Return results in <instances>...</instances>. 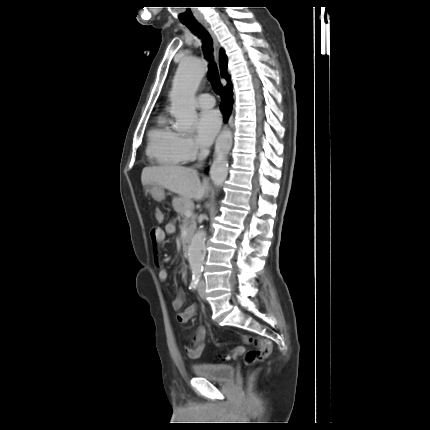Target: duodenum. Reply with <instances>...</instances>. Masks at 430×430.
Returning <instances> with one entry per match:
<instances>
[{
    "label": "duodenum",
    "mask_w": 430,
    "mask_h": 430,
    "mask_svg": "<svg viewBox=\"0 0 430 430\" xmlns=\"http://www.w3.org/2000/svg\"><path fill=\"white\" fill-rule=\"evenodd\" d=\"M190 248H191V238L188 236L184 239L183 245H182V251L185 257H189L190 254Z\"/></svg>",
    "instance_id": "duodenum-1"
}]
</instances>
